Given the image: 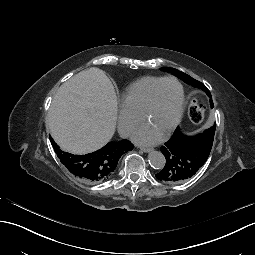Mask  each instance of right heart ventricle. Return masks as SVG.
Instances as JSON below:
<instances>
[{
	"mask_svg": "<svg viewBox=\"0 0 255 255\" xmlns=\"http://www.w3.org/2000/svg\"><path fill=\"white\" fill-rule=\"evenodd\" d=\"M162 79V77H144L130 84L119 97L120 106L140 117L152 89Z\"/></svg>",
	"mask_w": 255,
	"mask_h": 255,
	"instance_id": "obj_1",
	"label": "right heart ventricle"
}]
</instances>
